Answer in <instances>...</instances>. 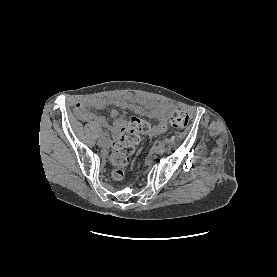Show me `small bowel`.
<instances>
[{"label":"small bowel","instance_id":"c3829d8e","mask_svg":"<svg viewBox=\"0 0 277 277\" xmlns=\"http://www.w3.org/2000/svg\"><path fill=\"white\" fill-rule=\"evenodd\" d=\"M108 104L115 105L123 109H129L137 114L146 115L156 120L149 135L157 136L166 130L167 114L170 107L162 102H155L133 94H121L111 98H89L76 104L75 112L78 118L84 122H94L99 126L110 128L117 134L126 124V120L118 117V112L112 110L110 116L113 120L109 124L103 117L96 116L89 112L91 107L102 109ZM146 106V108L144 107Z\"/></svg>","mask_w":277,"mask_h":277}]
</instances>
